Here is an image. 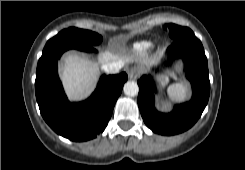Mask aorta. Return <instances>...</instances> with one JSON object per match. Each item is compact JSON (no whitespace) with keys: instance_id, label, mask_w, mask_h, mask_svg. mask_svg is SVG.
<instances>
[{"instance_id":"1","label":"aorta","mask_w":245,"mask_h":170,"mask_svg":"<svg viewBox=\"0 0 245 170\" xmlns=\"http://www.w3.org/2000/svg\"><path fill=\"white\" fill-rule=\"evenodd\" d=\"M123 91L127 96H136L139 92L138 84L134 81H128L125 83Z\"/></svg>"}]
</instances>
